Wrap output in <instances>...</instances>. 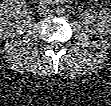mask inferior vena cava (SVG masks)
Instances as JSON below:
<instances>
[{
	"mask_svg": "<svg viewBox=\"0 0 111 106\" xmlns=\"http://www.w3.org/2000/svg\"><path fill=\"white\" fill-rule=\"evenodd\" d=\"M37 11L39 12V14H43L44 15V14L49 13L50 7L47 4H45V3H40L38 5Z\"/></svg>",
	"mask_w": 111,
	"mask_h": 106,
	"instance_id": "inferior-vena-cava-1",
	"label": "inferior vena cava"
}]
</instances>
